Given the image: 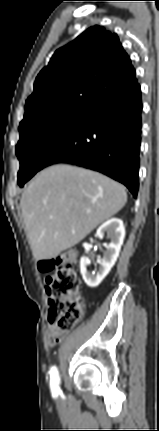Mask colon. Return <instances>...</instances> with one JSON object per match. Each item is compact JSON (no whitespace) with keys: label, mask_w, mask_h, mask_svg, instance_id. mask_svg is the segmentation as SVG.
Segmentation results:
<instances>
[{"label":"colon","mask_w":159,"mask_h":431,"mask_svg":"<svg viewBox=\"0 0 159 431\" xmlns=\"http://www.w3.org/2000/svg\"><path fill=\"white\" fill-rule=\"evenodd\" d=\"M75 261L74 253L65 252L39 262V269L50 273L45 285L50 320L65 331L72 329L81 316V306L75 299L80 287Z\"/></svg>","instance_id":"colon-1"}]
</instances>
